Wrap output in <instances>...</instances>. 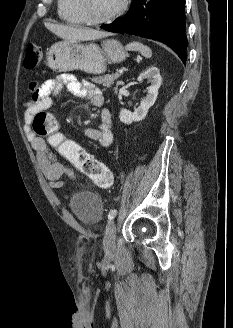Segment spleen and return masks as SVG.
<instances>
[{
  "mask_svg": "<svg viewBox=\"0 0 233 328\" xmlns=\"http://www.w3.org/2000/svg\"><path fill=\"white\" fill-rule=\"evenodd\" d=\"M125 49L129 51H138L146 58H150L152 56L151 49L139 42H131L126 45Z\"/></svg>",
  "mask_w": 233,
  "mask_h": 328,
  "instance_id": "obj_1",
  "label": "spleen"
}]
</instances>
